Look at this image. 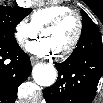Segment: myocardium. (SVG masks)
<instances>
[{"label":"myocardium","instance_id":"myocardium-1","mask_svg":"<svg viewBox=\"0 0 103 103\" xmlns=\"http://www.w3.org/2000/svg\"><path fill=\"white\" fill-rule=\"evenodd\" d=\"M69 18H74L76 20V23H77L76 32L71 42L64 49L56 52V54L59 57L68 56L70 53L73 52V50L78 45L80 38L82 36V32H83V21H82L81 16L75 11H69V12L59 15L58 17L53 19L51 22L46 24L41 29V34H43V32H45L46 30L53 29V28L60 26L63 22H65Z\"/></svg>","mask_w":103,"mask_h":103}]
</instances>
